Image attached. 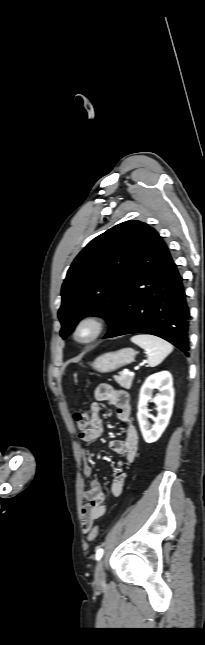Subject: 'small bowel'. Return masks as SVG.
<instances>
[{
    "instance_id": "c3829d8e",
    "label": "small bowel",
    "mask_w": 205,
    "mask_h": 645,
    "mask_svg": "<svg viewBox=\"0 0 205 645\" xmlns=\"http://www.w3.org/2000/svg\"><path fill=\"white\" fill-rule=\"evenodd\" d=\"M101 402L108 403L115 408L117 418L124 424L125 437L121 440L110 442L111 449L124 458L125 464H131L138 453V433L134 425L130 422L131 406L128 394L120 389H116L109 384L103 383L97 386L94 391V401L90 411L92 419L89 428L80 433V438L87 443L96 441L103 432V421L100 416ZM83 472L86 477H91L93 473L92 465L89 461L85 450H82ZM127 479V472L122 469L113 478L111 483V493L113 496H120ZM85 504L82 507V530L88 533L94 522L101 518L106 507L105 493L97 480H91L88 488L84 493Z\"/></svg>"
}]
</instances>
